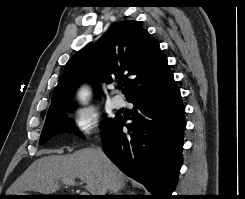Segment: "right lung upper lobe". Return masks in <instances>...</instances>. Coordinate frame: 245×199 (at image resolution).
Wrapping results in <instances>:
<instances>
[{"label":"right lung upper lobe","mask_w":245,"mask_h":199,"mask_svg":"<svg viewBox=\"0 0 245 199\" xmlns=\"http://www.w3.org/2000/svg\"><path fill=\"white\" fill-rule=\"evenodd\" d=\"M92 79L107 84L123 81V93L129 100L165 87L174 77L159 43L139 22L125 20L71 57L54 90L47 116L68 106L75 87Z\"/></svg>","instance_id":"right-lung-upper-lobe-1"}]
</instances>
